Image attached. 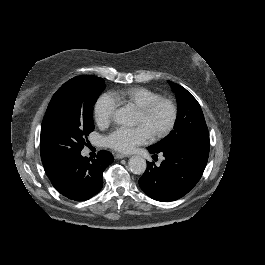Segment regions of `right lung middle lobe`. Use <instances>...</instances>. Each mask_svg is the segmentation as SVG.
I'll return each instance as SVG.
<instances>
[{
  "mask_svg": "<svg viewBox=\"0 0 265 265\" xmlns=\"http://www.w3.org/2000/svg\"><path fill=\"white\" fill-rule=\"evenodd\" d=\"M105 87L102 78L83 75L70 79L57 90L41 126L43 163L81 152L87 136L94 130L93 106Z\"/></svg>",
  "mask_w": 265,
  "mask_h": 265,
  "instance_id": "obj_1",
  "label": "right lung middle lobe"
}]
</instances>
